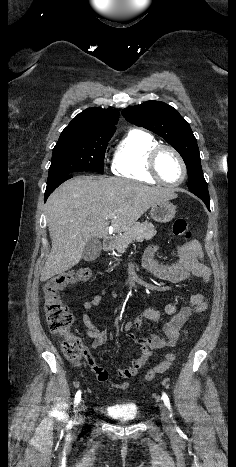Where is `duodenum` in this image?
Returning a JSON list of instances; mask_svg holds the SVG:
<instances>
[{
	"label": "duodenum",
	"mask_w": 236,
	"mask_h": 467,
	"mask_svg": "<svg viewBox=\"0 0 236 467\" xmlns=\"http://www.w3.org/2000/svg\"><path fill=\"white\" fill-rule=\"evenodd\" d=\"M102 248L104 251H109L111 249V239L109 237H105L102 240Z\"/></svg>",
	"instance_id": "obj_1"
}]
</instances>
